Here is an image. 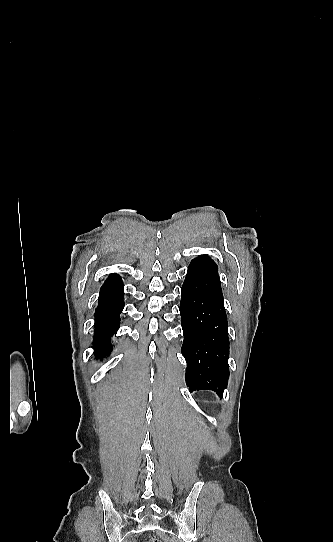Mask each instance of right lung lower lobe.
I'll return each instance as SVG.
<instances>
[{
  "instance_id": "98d812e1",
  "label": "right lung lower lobe",
  "mask_w": 333,
  "mask_h": 542,
  "mask_svg": "<svg viewBox=\"0 0 333 542\" xmlns=\"http://www.w3.org/2000/svg\"><path fill=\"white\" fill-rule=\"evenodd\" d=\"M124 285L119 275H110L102 285L95 311L93 342L96 358L110 355V337L118 330L120 314L124 307Z\"/></svg>"
}]
</instances>
